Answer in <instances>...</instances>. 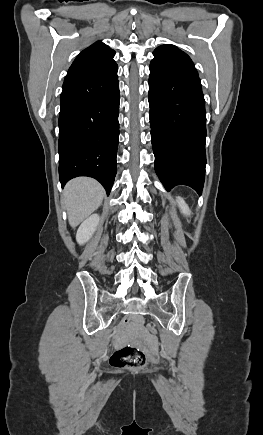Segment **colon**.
<instances>
[{
    "instance_id": "5ec220e1",
    "label": "colon",
    "mask_w": 263,
    "mask_h": 435,
    "mask_svg": "<svg viewBox=\"0 0 263 435\" xmlns=\"http://www.w3.org/2000/svg\"><path fill=\"white\" fill-rule=\"evenodd\" d=\"M145 329L156 335V330L150 324H145ZM111 364L118 368L137 369L144 365L146 361L145 353L135 347L126 346L115 351L111 356Z\"/></svg>"
}]
</instances>
